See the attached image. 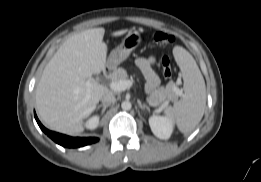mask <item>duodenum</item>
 <instances>
[{"instance_id":"1","label":"duodenum","mask_w":261,"mask_h":182,"mask_svg":"<svg viewBox=\"0 0 261 182\" xmlns=\"http://www.w3.org/2000/svg\"><path fill=\"white\" fill-rule=\"evenodd\" d=\"M109 73H110V68H109V67H106V68L104 69V74H105V75H109Z\"/></svg>"}]
</instances>
